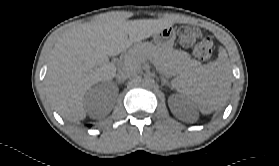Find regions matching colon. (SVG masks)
Listing matches in <instances>:
<instances>
[{
    "instance_id": "obj_1",
    "label": "colon",
    "mask_w": 279,
    "mask_h": 166,
    "mask_svg": "<svg viewBox=\"0 0 279 166\" xmlns=\"http://www.w3.org/2000/svg\"><path fill=\"white\" fill-rule=\"evenodd\" d=\"M177 33L181 44L191 49L196 58L202 61H210L213 59L212 42L202 36L199 28L181 26L178 28Z\"/></svg>"
}]
</instances>
